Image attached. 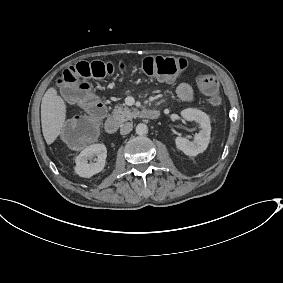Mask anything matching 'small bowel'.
<instances>
[{
    "label": "small bowel",
    "instance_id": "small-bowel-1",
    "mask_svg": "<svg viewBox=\"0 0 283 283\" xmlns=\"http://www.w3.org/2000/svg\"><path fill=\"white\" fill-rule=\"evenodd\" d=\"M177 96L186 102H191L195 98V91L191 85L187 83H181L176 87Z\"/></svg>",
    "mask_w": 283,
    "mask_h": 283
}]
</instances>
